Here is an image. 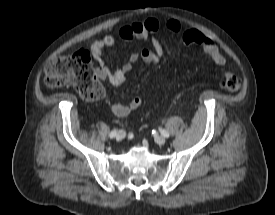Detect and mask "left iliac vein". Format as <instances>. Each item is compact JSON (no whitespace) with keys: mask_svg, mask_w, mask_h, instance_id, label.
<instances>
[{"mask_svg":"<svg viewBox=\"0 0 275 215\" xmlns=\"http://www.w3.org/2000/svg\"><path fill=\"white\" fill-rule=\"evenodd\" d=\"M155 142L159 145H164L166 139L163 136H155Z\"/></svg>","mask_w":275,"mask_h":215,"instance_id":"left-iliac-vein-1","label":"left iliac vein"}]
</instances>
